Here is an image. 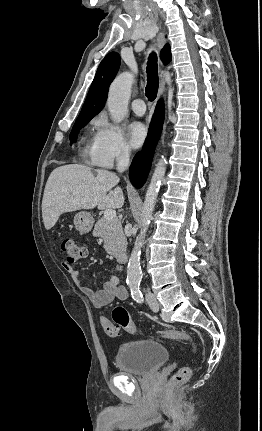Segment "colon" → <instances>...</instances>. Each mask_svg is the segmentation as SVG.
<instances>
[{
	"label": "colon",
	"mask_w": 262,
	"mask_h": 431,
	"mask_svg": "<svg viewBox=\"0 0 262 431\" xmlns=\"http://www.w3.org/2000/svg\"><path fill=\"white\" fill-rule=\"evenodd\" d=\"M61 248L65 255L64 264L66 265L78 262L80 259L84 258L87 253L85 245L74 238H64L61 242ZM112 319L113 321H110L105 317L101 318L102 328L108 336L115 337L118 335L120 330H125L130 334L138 333V330L132 322L130 314L126 308L122 306L116 307L113 310ZM158 333L166 338L178 339L186 342L192 347L194 354H197V343L188 332L176 329H163ZM191 374L192 371L190 367L185 366L180 368L171 377L170 385L177 386L187 382L190 379Z\"/></svg>",
	"instance_id": "colon-1"
}]
</instances>
